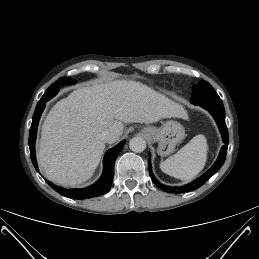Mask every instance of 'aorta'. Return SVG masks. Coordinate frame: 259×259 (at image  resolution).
<instances>
[{"label": "aorta", "instance_id": "aorta-1", "mask_svg": "<svg viewBox=\"0 0 259 259\" xmlns=\"http://www.w3.org/2000/svg\"><path fill=\"white\" fill-rule=\"evenodd\" d=\"M129 147L133 152L141 153L146 149V141L142 137H133L129 142Z\"/></svg>", "mask_w": 259, "mask_h": 259}]
</instances>
